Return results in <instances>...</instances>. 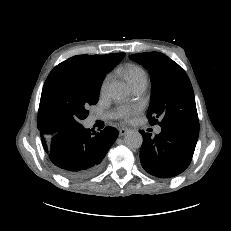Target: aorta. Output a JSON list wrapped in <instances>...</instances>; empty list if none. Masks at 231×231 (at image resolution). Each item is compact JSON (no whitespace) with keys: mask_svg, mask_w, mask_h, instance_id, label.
Masks as SVG:
<instances>
[{"mask_svg":"<svg viewBox=\"0 0 231 231\" xmlns=\"http://www.w3.org/2000/svg\"><path fill=\"white\" fill-rule=\"evenodd\" d=\"M108 93L112 99L123 101L128 97V88L124 83L115 82L108 88ZM125 145L130 149H138L141 147L143 138L137 130H129L124 137Z\"/></svg>","mask_w":231,"mask_h":231,"instance_id":"aorta-1","label":"aorta"}]
</instances>
